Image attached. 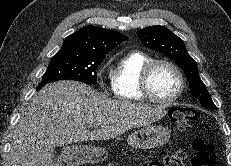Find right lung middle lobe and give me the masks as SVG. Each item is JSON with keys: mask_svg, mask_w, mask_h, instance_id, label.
<instances>
[{"mask_svg": "<svg viewBox=\"0 0 231 166\" xmlns=\"http://www.w3.org/2000/svg\"><path fill=\"white\" fill-rule=\"evenodd\" d=\"M105 57L74 51H59L52 57L41 83L76 80L87 84H96V70Z\"/></svg>", "mask_w": 231, "mask_h": 166, "instance_id": "obj_1", "label": "right lung middle lobe"}]
</instances>
